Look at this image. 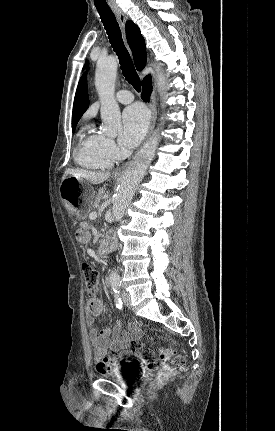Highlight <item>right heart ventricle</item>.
I'll return each mask as SVG.
<instances>
[{
	"label": "right heart ventricle",
	"instance_id": "right-heart-ventricle-1",
	"mask_svg": "<svg viewBox=\"0 0 275 431\" xmlns=\"http://www.w3.org/2000/svg\"><path fill=\"white\" fill-rule=\"evenodd\" d=\"M104 139L105 136L92 124L86 125L79 133V145L75 152L76 162L93 170L110 168L114 160L103 149Z\"/></svg>",
	"mask_w": 275,
	"mask_h": 431
}]
</instances>
